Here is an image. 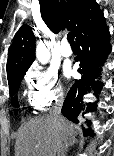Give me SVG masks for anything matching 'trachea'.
<instances>
[{
  "instance_id": "trachea-1",
  "label": "trachea",
  "mask_w": 114,
  "mask_h": 156,
  "mask_svg": "<svg viewBox=\"0 0 114 156\" xmlns=\"http://www.w3.org/2000/svg\"><path fill=\"white\" fill-rule=\"evenodd\" d=\"M67 40H68V42L70 44H75V41L73 39V36H72V34L70 32L67 34Z\"/></svg>"
}]
</instances>
